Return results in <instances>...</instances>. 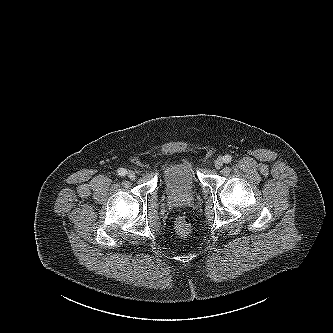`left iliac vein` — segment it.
Here are the masks:
<instances>
[{
    "mask_svg": "<svg viewBox=\"0 0 333 333\" xmlns=\"http://www.w3.org/2000/svg\"><path fill=\"white\" fill-rule=\"evenodd\" d=\"M224 164V159L223 157H219L217 158L216 162H215V166L216 168H221Z\"/></svg>",
    "mask_w": 333,
    "mask_h": 333,
    "instance_id": "obj_1",
    "label": "left iliac vein"
}]
</instances>
